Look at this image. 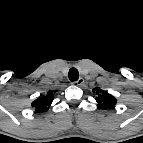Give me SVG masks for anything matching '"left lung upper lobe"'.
<instances>
[{
    "label": "left lung upper lobe",
    "instance_id": "5c2ea615",
    "mask_svg": "<svg viewBox=\"0 0 143 143\" xmlns=\"http://www.w3.org/2000/svg\"><path fill=\"white\" fill-rule=\"evenodd\" d=\"M93 92L96 93V102L97 106L101 109H111L114 108L116 104V99L114 96L109 94L106 91L101 90L100 88H94Z\"/></svg>",
    "mask_w": 143,
    "mask_h": 143
}]
</instances>
